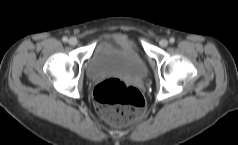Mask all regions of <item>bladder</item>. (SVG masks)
<instances>
[{
	"label": "bladder",
	"mask_w": 238,
	"mask_h": 145,
	"mask_svg": "<svg viewBox=\"0 0 238 145\" xmlns=\"http://www.w3.org/2000/svg\"><path fill=\"white\" fill-rule=\"evenodd\" d=\"M122 47L110 41L99 45L91 54L86 74L96 79L107 74H120L132 79H143L148 74L145 57L136 42L129 36H120Z\"/></svg>",
	"instance_id": "1"
}]
</instances>
